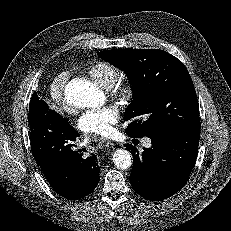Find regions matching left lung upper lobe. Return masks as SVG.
Masks as SVG:
<instances>
[{
	"mask_svg": "<svg viewBox=\"0 0 231 231\" xmlns=\"http://www.w3.org/2000/svg\"><path fill=\"white\" fill-rule=\"evenodd\" d=\"M130 78L133 100L125 110L135 137H176L200 131L196 91L185 65L159 49H116L98 53Z\"/></svg>",
	"mask_w": 231,
	"mask_h": 231,
	"instance_id": "obj_1",
	"label": "left lung upper lobe"
}]
</instances>
